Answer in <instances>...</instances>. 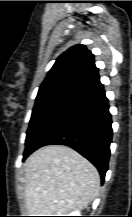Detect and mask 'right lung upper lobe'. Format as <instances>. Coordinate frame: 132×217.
<instances>
[{"label": "right lung upper lobe", "instance_id": "cb5924a9", "mask_svg": "<svg viewBox=\"0 0 132 217\" xmlns=\"http://www.w3.org/2000/svg\"><path fill=\"white\" fill-rule=\"evenodd\" d=\"M101 87L93 54L84 45H75L58 57L38 95L63 91L79 97Z\"/></svg>", "mask_w": 132, "mask_h": 217}]
</instances>
